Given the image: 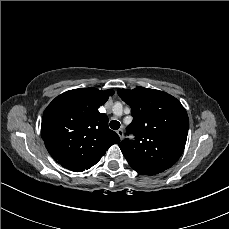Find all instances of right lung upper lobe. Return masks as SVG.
Returning a JSON list of instances; mask_svg holds the SVG:
<instances>
[{
    "instance_id": "cb5924a9",
    "label": "right lung upper lobe",
    "mask_w": 229,
    "mask_h": 229,
    "mask_svg": "<svg viewBox=\"0 0 229 229\" xmlns=\"http://www.w3.org/2000/svg\"><path fill=\"white\" fill-rule=\"evenodd\" d=\"M113 90L79 88L62 93L45 109L41 136L50 155L64 168L81 172L91 168L107 149L120 142L108 128V117L98 108Z\"/></svg>"
}]
</instances>
